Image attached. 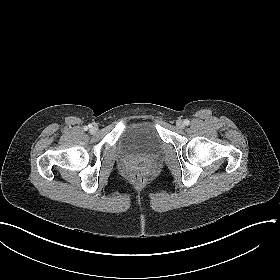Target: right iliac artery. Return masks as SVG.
Segmentation results:
<instances>
[{"instance_id": "1", "label": "right iliac artery", "mask_w": 280, "mask_h": 280, "mask_svg": "<svg viewBox=\"0 0 280 280\" xmlns=\"http://www.w3.org/2000/svg\"><path fill=\"white\" fill-rule=\"evenodd\" d=\"M89 127H92V126H91V125H89ZM84 129H85V130H87V129H88V127L86 126Z\"/></svg>"}]
</instances>
